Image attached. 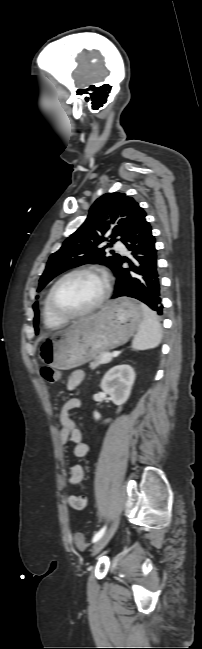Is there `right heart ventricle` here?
<instances>
[{"label":"right heart ventricle","mask_w":202,"mask_h":649,"mask_svg":"<svg viewBox=\"0 0 202 649\" xmlns=\"http://www.w3.org/2000/svg\"><path fill=\"white\" fill-rule=\"evenodd\" d=\"M42 319L44 325L49 329L59 328L66 323V320L61 319L53 314L48 301V293L45 296L42 305Z\"/></svg>","instance_id":"obj_1"}]
</instances>
